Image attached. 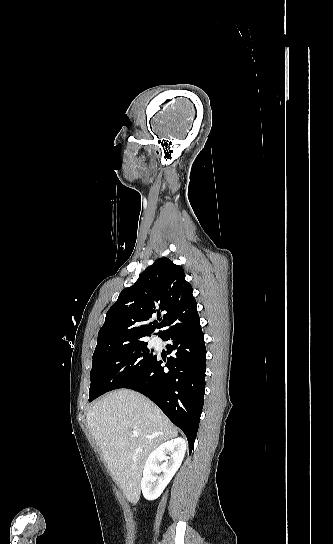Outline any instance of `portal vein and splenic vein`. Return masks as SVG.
<instances>
[{"label": "portal vein and splenic vein", "mask_w": 333, "mask_h": 544, "mask_svg": "<svg viewBox=\"0 0 333 544\" xmlns=\"http://www.w3.org/2000/svg\"><path fill=\"white\" fill-rule=\"evenodd\" d=\"M132 434H133V436L137 437L139 435V432L138 431H133Z\"/></svg>", "instance_id": "obj_1"}]
</instances>
